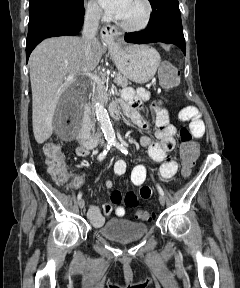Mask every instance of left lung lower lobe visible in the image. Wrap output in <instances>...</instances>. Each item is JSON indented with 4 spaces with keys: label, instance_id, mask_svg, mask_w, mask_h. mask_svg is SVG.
<instances>
[{
    "label": "left lung lower lobe",
    "instance_id": "0a47b994",
    "mask_svg": "<svg viewBox=\"0 0 240 288\" xmlns=\"http://www.w3.org/2000/svg\"><path fill=\"white\" fill-rule=\"evenodd\" d=\"M125 41L130 43H173L185 53V39L180 13L169 10L152 16L148 27L140 32L126 33Z\"/></svg>",
    "mask_w": 240,
    "mask_h": 288
}]
</instances>
